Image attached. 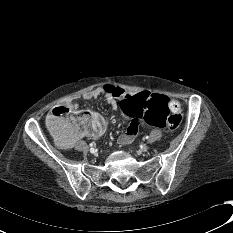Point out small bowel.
Segmentation results:
<instances>
[{
    "label": "small bowel",
    "instance_id": "small-bowel-1",
    "mask_svg": "<svg viewBox=\"0 0 233 233\" xmlns=\"http://www.w3.org/2000/svg\"><path fill=\"white\" fill-rule=\"evenodd\" d=\"M125 93H129V92L125 91L124 89H122L118 86L105 85V86H102V87H99L97 89H94V90H91V91L84 93L83 98L89 100V99H94V98H97L100 96H104L106 98L109 106L112 107L113 109H117L118 108L117 101ZM170 101H173V100H170ZM65 106L69 107L71 110H75L78 108V104L76 102H74L72 99H67L65 101ZM128 119L130 122H129V125H128L126 131L118 137V143L121 145L130 144L136 138V136L139 132L140 118L139 119L128 118ZM93 135H94V137H99L100 133H98V131H97V132L93 133ZM82 136L83 135L60 136V137H56V142L60 148L69 149Z\"/></svg>",
    "mask_w": 233,
    "mask_h": 233
}]
</instances>
